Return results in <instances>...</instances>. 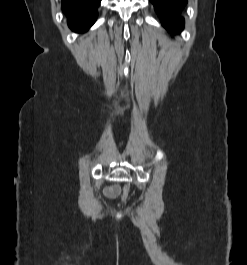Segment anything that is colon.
Segmentation results:
<instances>
[{
  "mask_svg": "<svg viewBox=\"0 0 247 265\" xmlns=\"http://www.w3.org/2000/svg\"><path fill=\"white\" fill-rule=\"evenodd\" d=\"M129 192V187L126 185L123 188V198H126Z\"/></svg>",
  "mask_w": 247,
  "mask_h": 265,
  "instance_id": "colon-1",
  "label": "colon"
}]
</instances>
